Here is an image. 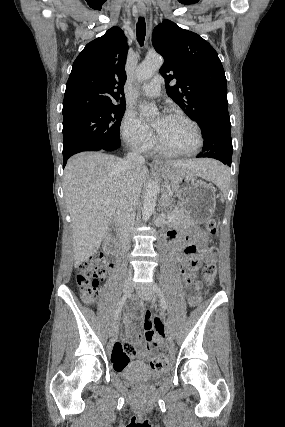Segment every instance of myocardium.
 <instances>
[{
	"mask_svg": "<svg viewBox=\"0 0 285 427\" xmlns=\"http://www.w3.org/2000/svg\"><path fill=\"white\" fill-rule=\"evenodd\" d=\"M167 116L169 117H173L176 119H181L185 122H187L188 124H190L197 136V145L188 151H182V150H178L174 147H172L171 145L167 144L166 142H164L159 135L157 136V142L158 145L164 149L165 151L171 153V154H175V155H180V156H191L196 154L197 152H199V150L202 148L203 144H204V138H203V134L201 131L200 126L198 125V123L196 121H194L192 118H190L189 116L183 114V113H179V112H170L167 114Z\"/></svg>",
	"mask_w": 285,
	"mask_h": 427,
	"instance_id": "obj_1",
	"label": "myocardium"
}]
</instances>
